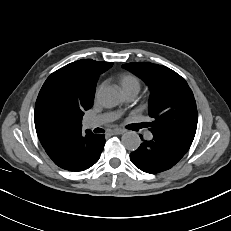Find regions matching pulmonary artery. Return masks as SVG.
I'll use <instances>...</instances> for the list:
<instances>
[{"instance_id":"e3ab8cb5","label":"pulmonary artery","mask_w":231,"mask_h":231,"mask_svg":"<svg viewBox=\"0 0 231 231\" xmlns=\"http://www.w3.org/2000/svg\"><path fill=\"white\" fill-rule=\"evenodd\" d=\"M124 95L128 101H132L134 100L137 94L130 92V93H125ZM116 117H117L116 113H107V114H103L99 116H93V117L87 118L84 122V125L86 128H95V127L101 126L107 122L114 120ZM146 138L151 139L152 134L147 133Z\"/></svg>"}]
</instances>
